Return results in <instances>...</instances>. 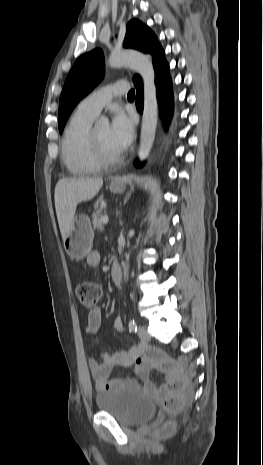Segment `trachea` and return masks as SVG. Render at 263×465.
Wrapping results in <instances>:
<instances>
[{
	"label": "trachea",
	"mask_w": 263,
	"mask_h": 465,
	"mask_svg": "<svg viewBox=\"0 0 263 465\" xmlns=\"http://www.w3.org/2000/svg\"><path fill=\"white\" fill-rule=\"evenodd\" d=\"M128 98H134L135 96V91L134 90H131L129 93H128Z\"/></svg>",
	"instance_id": "1"
}]
</instances>
